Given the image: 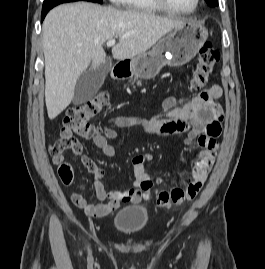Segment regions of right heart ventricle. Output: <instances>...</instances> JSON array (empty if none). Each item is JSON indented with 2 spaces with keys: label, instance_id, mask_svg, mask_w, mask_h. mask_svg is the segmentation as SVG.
<instances>
[{
  "label": "right heart ventricle",
  "instance_id": "obj_1",
  "mask_svg": "<svg viewBox=\"0 0 265 269\" xmlns=\"http://www.w3.org/2000/svg\"><path fill=\"white\" fill-rule=\"evenodd\" d=\"M121 3L125 8L132 10L145 12H159L162 10L153 0H122Z\"/></svg>",
  "mask_w": 265,
  "mask_h": 269
}]
</instances>
